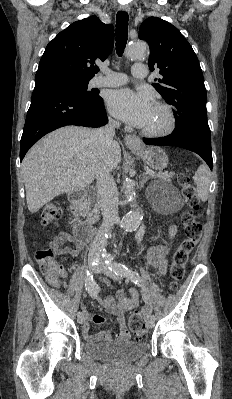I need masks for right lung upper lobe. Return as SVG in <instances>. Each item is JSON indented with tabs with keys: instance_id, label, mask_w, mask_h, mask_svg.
<instances>
[{
	"instance_id": "obj_1",
	"label": "right lung upper lobe",
	"mask_w": 232,
	"mask_h": 399,
	"mask_svg": "<svg viewBox=\"0 0 232 399\" xmlns=\"http://www.w3.org/2000/svg\"><path fill=\"white\" fill-rule=\"evenodd\" d=\"M114 46V28L95 15L72 23L46 47L35 80L91 79L95 60L104 61Z\"/></svg>"
}]
</instances>
